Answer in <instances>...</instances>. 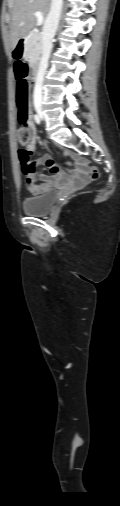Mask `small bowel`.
Returning a JSON list of instances; mask_svg holds the SVG:
<instances>
[{
    "instance_id": "c3829d8e",
    "label": "small bowel",
    "mask_w": 120,
    "mask_h": 506,
    "mask_svg": "<svg viewBox=\"0 0 120 506\" xmlns=\"http://www.w3.org/2000/svg\"><path fill=\"white\" fill-rule=\"evenodd\" d=\"M29 126H33V122L29 121ZM70 158L74 163L80 166L82 159L78 158L77 155L70 153ZM20 160L23 165V173L26 177L27 190L33 194H41L54 184H72L79 186L90 182L91 178L89 173L84 169H78L72 171L71 176L66 171L61 169L53 160L52 157L46 155L40 160L34 162L31 159H24L20 153ZM46 166L56 173L55 176H43L40 184L36 183V170L38 167Z\"/></svg>"
}]
</instances>
